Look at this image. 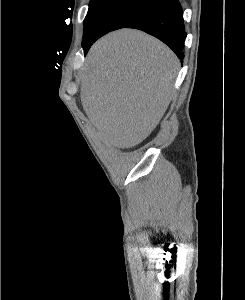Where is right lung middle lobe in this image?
Segmentation results:
<instances>
[{
	"instance_id": "right-lung-middle-lobe-1",
	"label": "right lung middle lobe",
	"mask_w": 245,
	"mask_h": 300,
	"mask_svg": "<svg viewBox=\"0 0 245 300\" xmlns=\"http://www.w3.org/2000/svg\"><path fill=\"white\" fill-rule=\"evenodd\" d=\"M155 0H91L84 20L83 47L106 33L120 29L152 9Z\"/></svg>"
}]
</instances>
